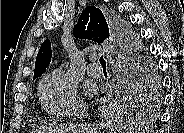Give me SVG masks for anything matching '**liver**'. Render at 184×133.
<instances>
[{
    "label": "liver",
    "instance_id": "liver-1",
    "mask_svg": "<svg viewBox=\"0 0 184 133\" xmlns=\"http://www.w3.org/2000/svg\"><path fill=\"white\" fill-rule=\"evenodd\" d=\"M92 127V125H90ZM93 128V127H92ZM95 131L94 133H97V127L93 128ZM83 128L77 125H64L60 127L55 128H47L43 127L42 129L37 130V133H84Z\"/></svg>",
    "mask_w": 184,
    "mask_h": 133
}]
</instances>
